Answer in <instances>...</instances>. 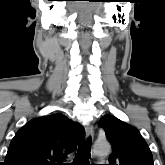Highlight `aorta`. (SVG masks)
I'll return each instance as SVG.
<instances>
[{
  "mask_svg": "<svg viewBox=\"0 0 165 165\" xmlns=\"http://www.w3.org/2000/svg\"><path fill=\"white\" fill-rule=\"evenodd\" d=\"M111 150L107 141H100L94 144V152L98 155H107Z\"/></svg>",
  "mask_w": 165,
  "mask_h": 165,
  "instance_id": "762f6f07",
  "label": "aorta"
}]
</instances>
